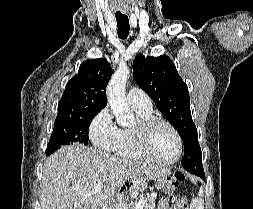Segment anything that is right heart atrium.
Masks as SVG:
<instances>
[{
  "instance_id": "right-heart-atrium-1",
  "label": "right heart atrium",
  "mask_w": 253,
  "mask_h": 209,
  "mask_svg": "<svg viewBox=\"0 0 253 209\" xmlns=\"http://www.w3.org/2000/svg\"><path fill=\"white\" fill-rule=\"evenodd\" d=\"M92 144L101 150L112 151L120 142L121 130L114 122L109 109L104 108L95 115L89 126Z\"/></svg>"
}]
</instances>
